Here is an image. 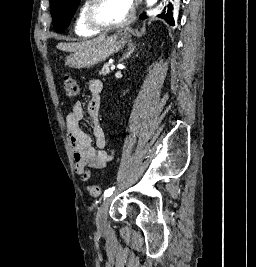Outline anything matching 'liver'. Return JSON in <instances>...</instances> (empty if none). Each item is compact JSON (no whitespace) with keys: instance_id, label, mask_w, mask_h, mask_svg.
Wrapping results in <instances>:
<instances>
[{"instance_id":"obj_1","label":"liver","mask_w":256,"mask_h":267,"mask_svg":"<svg viewBox=\"0 0 256 267\" xmlns=\"http://www.w3.org/2000/svg\"><path fill=\"white\" fill-rule=\"evenodd\" d=\"M103 38H105V36L94 38V40H85V42H72V44L61 42V44H57L56 48H58V50H63V52H82L89 44H99V42H102Z\"/></svg>"}]
</instances>
